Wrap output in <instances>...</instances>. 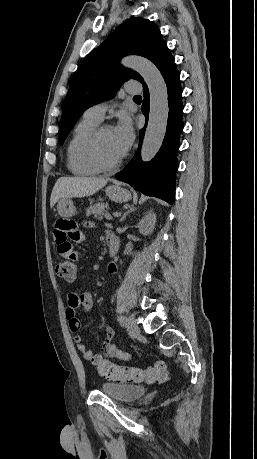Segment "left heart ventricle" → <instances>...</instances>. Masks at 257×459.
Wrapping results in <instances>:
<instances>
[{
    "instance_id": "b2bd125f",
    "label": "left heart ventricle",
    "mask_w": 257,
    "mask_h": 459,
    "mask_svg": "<svg viewBox=\"0 0 257 459\" xmlns=\"http://www.w3.org/2000/svg\"><path fill=\"white\" fill-rule=\"evenodd\" d=\"M98 148L101 158L107 163L114 162L122 156L115 141L112 128L103 132Z\"/></svg>"
}]
</instances>
